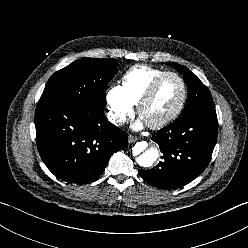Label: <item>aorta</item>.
<instances>
[{"instance_id": "762f6f07", "label": "aorta", "mask_w": 248, "mask_h": 248, "mask_svg": "<svg viewBox=\"0 0 248 248\" xmlns=\"http://www.w3.org/2000/svg\"><path fill=\"white\" fill-rule=\"evenodd\" d=\"M146 141L137 142L132 149L136 162L142 167H151L159 157L156 148L149 147Z\"/></svg>"}]
</instances>
